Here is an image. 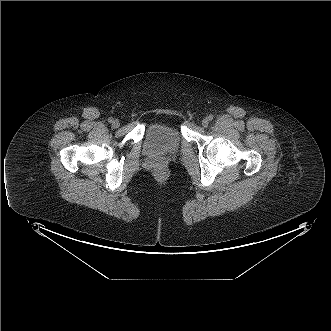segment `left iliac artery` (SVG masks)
Wrapping results in <instances>:
<instances>
[{
  "label": "left iliac artery",
  "instance_id": "44dca946",
  "mask_svg": "<svg viewBox=\"0 0 331 331\" xmlns=\"http://www.w3.org/2000/svg\"><path fill=\"white\" fill-rule=\"evenodd\" d=\"M208 119H209L210 121H212V120H213V116H212V115H209V116H208Z\"/></svg>",
  "mask_w": 331,
  "mask_h": 331
}]
</instances>
